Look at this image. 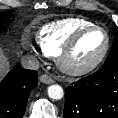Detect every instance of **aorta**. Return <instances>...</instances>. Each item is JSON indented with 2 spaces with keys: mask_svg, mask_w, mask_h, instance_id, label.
I'll return each instance as SVG.
<instances>
[{
  "mask_svg": "<svg viewBox=\"0 0 118 118\" xmlns=\"http://www.w3.org/2000/svg\"><path fill=\"white\" fill-rule=\"evenodd\" d=\"M47 92L48 96L53 100H60L64 95L62 87L57 84L49 86Z\"/></svg>",
  "mask_w": 118,
  "mask_h": 118,
  "instance_id": "aorta-1",
  "label": "aorta"
}]
</instances>
